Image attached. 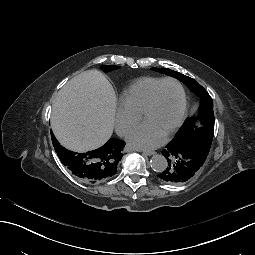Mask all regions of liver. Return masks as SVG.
Instances as JSON below:
<instances>
[{"label": "liver", "instance_id": "liver-1", "mask_svg": "<svg viewBox=\"0 0 255 255\" xmlns=\"http://www.w3.org/2000/svg\"><path fill=\"white\" fill-rule=\"evenodd\" d=\"M115 111L112 85L101 72L85 71L68 81L53 101L52 129L67 149L90 151L111 137Z\"/></svg>", "mask_w": 255, "mask_h": 255}]
</instances>
